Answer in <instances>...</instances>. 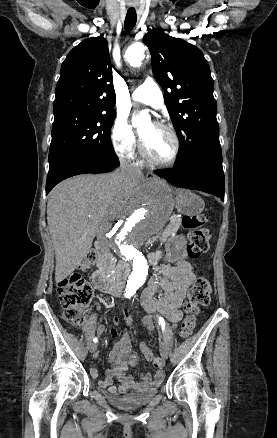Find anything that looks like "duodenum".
Returning <instances> with one entry per match:
<instances>
[{
    "label": "duodenum",
    "mask_w": 277,
    "mask_h": 438,
    "mask_svg": "<svg viewBox=\"0 0 277 438\" xmlns=\"http://www.w3.org/2000/svg\"><path fill=\"white\" fill-rule=\"evenodd\" d=\"M95 249L98 252L97 269L93 273L92 281L96 289L101 292L117 295L123 290L120 279L114 275L108 265L106 258L105 246L102 242L97 241L95 243ZM160 256L158 253L148 254V260L152 265L159 262ZM129 269V263L122 261L119 263L118 272L120 275L126 274Z\"/></svg>",
    "instance_id": "obj_1"
}]
</instances>
